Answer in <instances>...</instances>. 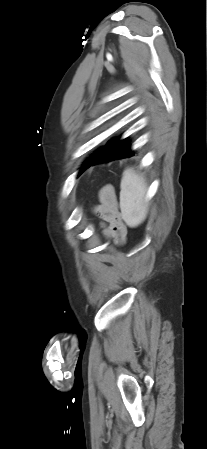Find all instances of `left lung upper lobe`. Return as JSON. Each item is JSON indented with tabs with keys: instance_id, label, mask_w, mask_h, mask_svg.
Masks as SVG:
<instances>
[{
	"instance_id": "5c2ea615",
	"label": "left lung upper lobe",
	"mask_w": 207,
	"mask_h": 449,
	"mask_svg": "<svg viewBox=\"0 0 207 449\" xmlns=\"http://www.w3.org/2000/svg\"><path fill=\"white\" fill-rule=\"evenodd\" d=\"M100 150V149H99ZM99 150H97L89 159H87L86 161H85V163L83 164V167H82V169H81V172L80 173H82L84 170H85V168H86V166L88 165V163L97 155V153L99 152Z\"/></svg>"
}]
</instances>
